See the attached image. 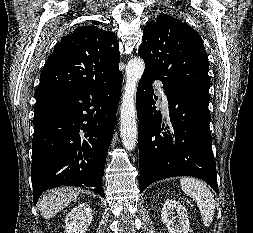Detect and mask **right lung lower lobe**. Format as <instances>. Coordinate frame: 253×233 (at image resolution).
Returning <instances> with one entry per match:
<instances>
[{
  "label": "right lung lower lobe",
  "instance_id": "98d812e1",
  "mask_svg": "<svg viewBox=\"0 0 253 233\" xmlns=\"http://www.w3.org/2000/svg\"><path fill=\"white\" fill-rule=\"evenodd\" d=\"M122 73L84 88L36 98L31 180L34 204L48 189L87 186L104 196L102 179L119 104Z\"/></svg>",
  "mask_w": 253,
  "mask_h": 233
}]
</instances>
